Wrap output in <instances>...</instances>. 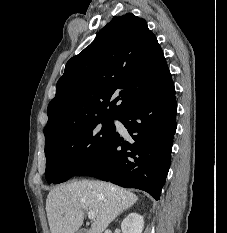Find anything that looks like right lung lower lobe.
<instances>
[{
  "label": "right lung lower lobe",
  "instance_id": "98d812e1",
  "mask_svg": "<svg viewBox=\"0 0 227 233\" xmlns=\"http://www.w3.org/2000/svg\"><path fill=\"white\" fill-rule=\"evenodd\" d=\"M176 112L171 80L118 117L129 136L115 131L97 156L75 176H93L141 189L159 200L171 163Z\"/></svg>",
  "mask_w": 227,
  "mask_h": 233
}]
</instances>
